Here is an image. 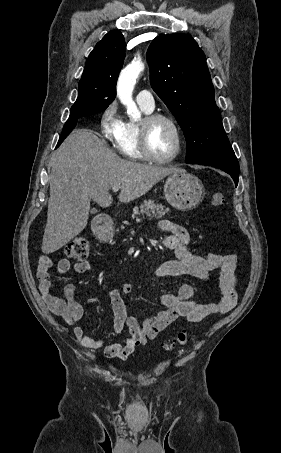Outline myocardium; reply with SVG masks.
<instances>
[{"label": "myocardium", "mask_w": 281, "mask_h": 453, "mask_svg": "<svg viewBox=\"0 0 281 453\" xmlns=\"http://www.w3.org/2000/svg\"><path fill=\"white\" fill-rule=\"evenodd\" d=\"M165 122L170 128L173 130L175 135V142L173 146L172 153L165 157L160 158L156 156L153 152L151 146V132L152 129L159 123ZM182 142V133L177 125V123L170 117L163 115V114H151L146 116L140 125V149L143 156L148 158L151 161L157 163H169L173 161L177 155L179 154L180 147Z\"/></svg>", "instance_id": "f54148a6"}]
</instances>
